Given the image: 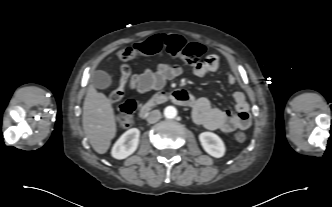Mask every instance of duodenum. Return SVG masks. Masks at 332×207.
<instances>
[{"label": "duodenum", "instance_id": "obj_1", "mask_svg": "<svg viewBox=\"0 0 332 207\" xmlns=\"http://www.w3.org/2000/svg\"><path fill=\"white\" fill-rule=\"evenodd\" d=\"M166 102H172L179 106L190 107L194 104V97L186 90L158 93L141 107L139 117L141 119L145 118L153 108Z\"/></svg>", "mask_w": 332, "mask_h": 207}]
</instances>
